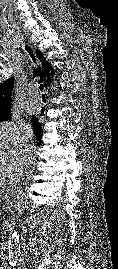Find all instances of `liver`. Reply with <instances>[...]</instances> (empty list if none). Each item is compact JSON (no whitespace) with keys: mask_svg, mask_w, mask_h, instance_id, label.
Masks as SVG:
<instances>
[{"mask_svg":"<svg viewBox=\"0 0 118 269\" xmlns=\"http://www.w3.org/2000/svg\"><path fill=\"white\" fill-rule=\"evenodd\" d=\"M32 137L33 130L28 123L19 122L16 125L14 122H6L0 125V180L14 172L18 176Z\"/></svg>","mask_w":118,"mask_h":269,"instance_id":"obj_1","label":"liver"}]
</instances>
